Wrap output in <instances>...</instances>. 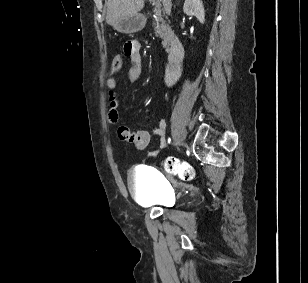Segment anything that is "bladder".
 <instances>
[{
	"instance_id": "1",
	"label": "bladder",
	"mask_w": 308,
	"mask_h": 283,
	"mask_svg": "<svg viewBox=\"0 0 308 283\" xmlns=\"http://www.w3.org/2000/svg\"><path fill=\"white\" fill-rule=\"evenodd\" d=\"M127 183L135 200L144 206L164 205L170 193L171 184L151 167L133 168Z\"/></svg>"
}]
</instances>
